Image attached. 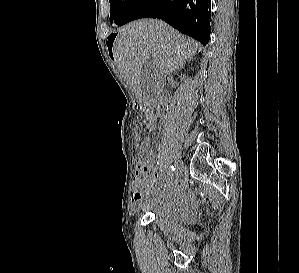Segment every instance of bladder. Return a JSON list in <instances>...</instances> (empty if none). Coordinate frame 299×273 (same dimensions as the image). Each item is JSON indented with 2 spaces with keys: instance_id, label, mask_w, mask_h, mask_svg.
Here are the masks:
<instances>
[{
  "instance_id": "1",
  "label": "bladder",
  "mask_w": 299,
  "mask_h": 273,
  "mask_svg": "<svg viewBox=\"0 0 299 273\" xmlns=\"http://www.w3.org/2000/svg\"><path fill=\"white\" fill-rule=\"evenodd\" d=\"M154 219L165 227H172L182 222L183 216L172 210H158L155 211Z\"/></svg>"
}]
</instances>
